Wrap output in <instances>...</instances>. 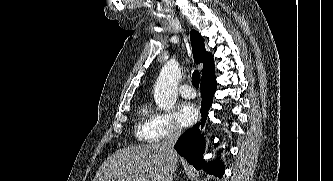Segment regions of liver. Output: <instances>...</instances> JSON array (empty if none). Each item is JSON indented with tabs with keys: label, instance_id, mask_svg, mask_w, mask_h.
Masks as SVG:
<instances>
[{
	"label": "liver",
	"instance_id": "liver-1",
	"mask_svg": "<svg viewBox=\"0 0 333 181\" xmlns=\"http://www.w3.org/2000/svg\"><path fill=\"white\" fill-rule=\"evenodd\" d=\"M168 167V156L161 144L132 146L109 156L93 181H165Z\"/></svg>",
	"mask_w": 333,
	"mask_h": 181
}]
</instances>
